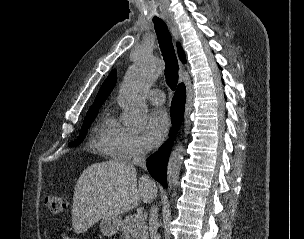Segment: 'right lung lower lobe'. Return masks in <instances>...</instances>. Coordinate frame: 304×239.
<instances>
[{"label":"right lung lower lobe","mask_w":304,"mask_h":239,"mask_svg":"<svg viewBox=\"0 0 304 239\" xmlns=\"http://www.w3.org/2000/svg\"><path fill=\"white\" fill-rule=\"evenodd\" d=\"M185 98V86L184 84H180L173 97L171 107V118L174 125L171 135L173 137L147 159V169L149 173L165 188L167 187V162L172 148L173 139L176 136L183 119Z\"/></svg>","instance_id":"98d812e1"}]
</instances>
